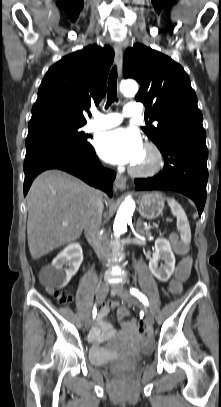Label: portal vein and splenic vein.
Here are the masks:
<instances>
[{
	"label": "portal vein and splenic vein",
	"mask_w": 221,
	"mask_h": 407,
	"mask_svg": "<svg viewBox=\"0 0 221 407\" xmlns=\"http://www.w3.org/2000/svg\"><path fill=\"white\" fill-rule=\"evenodd\" d=\"M63 225H64V226H67L68 223H63ZM155 227H157V226H155ZM150 228H151V226H147V225L144 226V229H145V230H148V229H150Z\"/></svg>",
	"instance_id": "obj_1"
}]
</instances>
